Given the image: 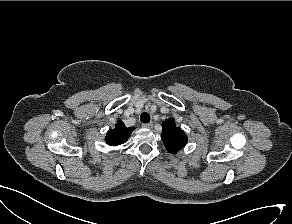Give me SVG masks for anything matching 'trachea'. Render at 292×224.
Here are the masks:
<instances>
[{
    "label": "trachea",
    "mask_w": 292,
    "mask_h": 224,
    "mask_svg": "<svg viewBox=\"0 0 292 224\" xmlns=\"http://www.w3.org/2000/svg\"><path fill=\"white\" fill-rule=\"evenodd\" d=\"M140 120H141L142 123H149V121H150V115L147 112H143L140 115Z\"/></svg>",
    "instance_id": "trachea-1"
}]
</instances>
